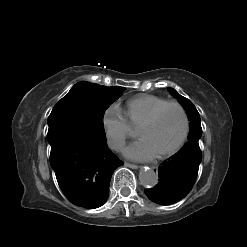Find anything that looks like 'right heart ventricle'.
<instances>
[{"label": "right heart ventricle", "mask_w": 247, "mask_h": 247, "mask_svg": "<svg viewBox=\"0 0 247 247\" xmlns=\"http://www.w3.org/2000/svg\"><path fill=\"white\" fill-rule=\"evenodd\" d=\"M165 98L141 94L126 103L125 116L130 126H139L157 107L166 103Z\"/></svg>", "instance_id": "1"}]
</instances>
